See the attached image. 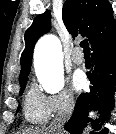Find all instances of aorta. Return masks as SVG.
Wrapping results in <instances>:
<instances>
[{"label": "aorta", "mask_w": 116, "mask_h": 134, "mask_svg": "<svg viewBox=\"0 0 116 134\" xmlns=\"http://www.w3.org/2000/svg\"><path fill=\"white\" fill-rule=\"evenodd\" d=\"M62 59V46L55 35L39 39L34 51V66L40 84L48 93H58L64 87Z\"/></svg>", "instance_id": "762f6f07"}]
</instances>
